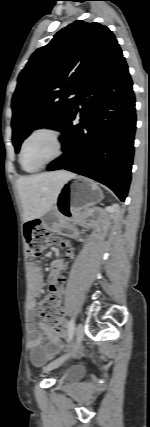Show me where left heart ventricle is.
Instances as JSON below:
<instances>
[{
    "label": "left heart ventricle",
    "mask_w": 150,
    "mask_h": 427,
    "mask_svg": "<svg viewBox=\"0 0 150 427\" xmlns=\"http://www.w3.org/2000/svg\"><path fill=\"white\" fill-rule=\"evenodd\" d=\"M56 152L53 138L48 134H39L33 137L25 146L23 164L26 169H34Z\"/></svg>",
    "instance_id": "left-heart-ventricle-1"
}]
</instances>
